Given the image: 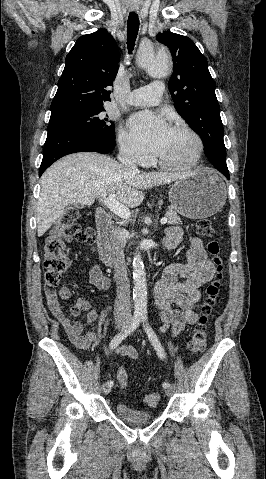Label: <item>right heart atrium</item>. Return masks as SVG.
Segmentation results:
<instances>
[{
    "mask_svg": "<svg viewBox=\"0 0 266 479\" xmlns=\"http://www.w3.org/2000/svg\"><path fill=\"white\" fill-rule=\"evenodd\" d=\"M118 143L121 155L126 160L138 164H146L149 161L146 151L125 129H120L118 134Z\"/></svg>",
    "mask_w": 266,
    "mask_h": 479,
    "instance_id": "d8ad5b80",
    "label": "right heart atrium"
}]
</instances>
